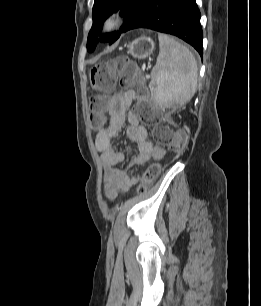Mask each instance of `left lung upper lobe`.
<instances>
[{"label": "left lung upper lobe", "mask_w": 261, "mask_h": 306, "mask_svg": "<svg viewBox=\"0 0 261 306\" xmlns=\"http://www.w3.org/2000/svg\"><path fill=\"white\" fill-rule=\"evenodd\" d=\"M145 0H95L92 18L93 25L88 35L87 50L94 51L98 42L96 39L102 29V24L112 13L120 11V15L124 16V26L121 28L123 32L127 25L134 18ZM119 32L105 34L101 37V41H108L112 44L119 38Z\"/></svg>", "instance_id": "left-lung-upper-lobe-1"}]
</instances>
